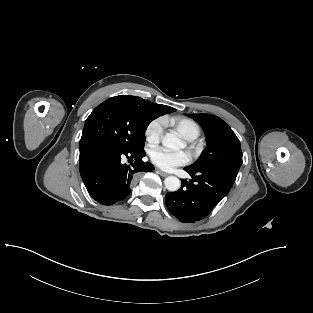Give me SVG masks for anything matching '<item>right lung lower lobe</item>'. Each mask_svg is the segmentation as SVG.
<instances>
[{
  "label": "right lung lower lobe",
  "instance_id": "obj_1",
  "mask_svg": "<svg viewBox=\"0 0 313 313\" xmlns=\"http://www.w3.org/2000/svg\"><path fill=\"white\" fill-rule=\"evenodd\" d=\"M144 156L143 148L127 150L102 141L80 146V174L88 193L103 205L123 200L130 194L137 173L154 170L151 163L142 161ZM124 157L133 162L131 166L123 164Z\"/></svg>",
  "mask_w": 313,
  "mask_h": 313
}]
</instances>
